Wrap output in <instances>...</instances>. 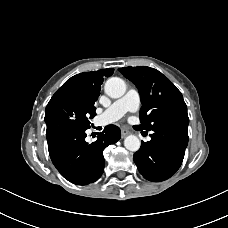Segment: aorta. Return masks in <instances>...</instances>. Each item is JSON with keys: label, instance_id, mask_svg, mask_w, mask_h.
Wrapping results in <instances>:
<instances>
[{"label": "aorta", "instance_id": "762f6f07", "mask_svg": "<svg viewBox=\"0 0 228 228\" xmlns=\"http://www.w3.org/2000/svg\"><path fill=\"white\" fill-rule=\"evenodd\" d=\"M105 93L111 98H120L126 92L124 80L118 77L109 78L104 86ZM141 142L135 135H129L124 140V146L127 150L136 152L139 150Z\"/></svg>", "mask_w": 228, "mask_h": 228}]
</instances>
